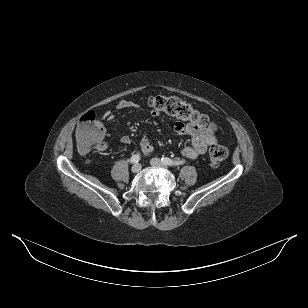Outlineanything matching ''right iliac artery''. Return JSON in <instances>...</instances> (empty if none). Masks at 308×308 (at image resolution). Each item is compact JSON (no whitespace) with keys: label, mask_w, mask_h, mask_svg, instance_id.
<instances>
[{"label":"right iliac artery","mask_w":308,"mask_h":308,"mask_svg":"<svg viewBox=\"0 0 308 308\" xmlns=\"http://www.w3.org/2000/svg\"><path fill=\"white\" fill-rule=\"evenodd\" d=\"M140 155L139 154H136V155H133L131 158H130V162L131 163H138L139 160H140Z\"/></svg>","instance_id":"1"}]
</instances>
